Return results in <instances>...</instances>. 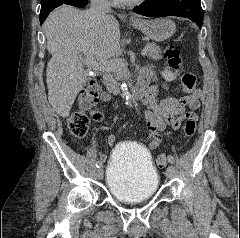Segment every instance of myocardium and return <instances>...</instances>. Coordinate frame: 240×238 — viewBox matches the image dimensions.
Here are the masks:
<instances>
[{"label":"myocardium","mask_w":240,"mask_h":238,"mask_svg":"<svg viewBox=\"0 0 240 238\" xmlns=\"http://www.w3.org/2000/svg\"><path fill=\"white\" fill-rule=\"evenodd\" d=\"M144 1L145 0H119L118 3L125 6H135L143 3Z\"/></svg>","instance_id":"myocardium-1"}]
</instances>
